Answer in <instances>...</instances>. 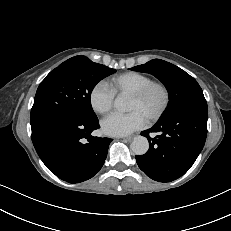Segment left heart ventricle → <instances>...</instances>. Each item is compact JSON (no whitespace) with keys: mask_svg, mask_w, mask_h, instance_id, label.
<instances>
[{"mask_svg":"<svg viewBox=\"0 0 231 231\" xmlns=\"http://www.w3.org/2000/svg\"><path fill=\"white\" fill-rule=\"evenodd\" d=\"M162 102V94L159 90H153L146 99L138 101L132 97L129 99L128 111H139L146 118L155 112Z\"/></svg>","mask_w":231,"mask_h":231,"instance_id":"left-heart-ventricle-1","label":"left heart ventricle"}]
</instances>
